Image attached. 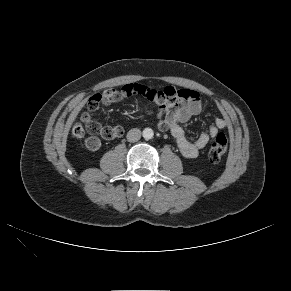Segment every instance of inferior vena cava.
<instances>
[{"label":"inferior vena cava","mask_w":291,"mask_h":291,"mask_svg":"<svg viewBox=\"0 0 291 291\" xmlns=\"http://www.w3.org/2000/svg\"><path fill=\"white\" fill-rule=\"evenodd\" d=\"M141 138V131L138 128H133L127 133V140L129 142H136Z\"/></svg>","instance_id":"602c4592"}]
</instances>
